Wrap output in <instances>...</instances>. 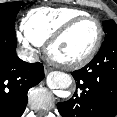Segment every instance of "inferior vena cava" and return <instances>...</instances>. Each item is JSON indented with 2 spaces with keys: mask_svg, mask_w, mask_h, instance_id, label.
I'll return each mask as SVG.
<instances>
[{
  "mask_svg": "<svg viewBox=\"0 0 117 117\" xmlns=\"http://www.w3.org/2000/svg\"><path fill=\"white\" fill-rule=\"evenodd\" d=\"M17 54H18V57L24 61L36 62L38 60V57L35 56L34 53H32L26 49L18 50Z\"/></svg>",
  "mask_w": 117,
  "mask_h": 117,
  "instance_id": "602c4592",
  "label": "inferior vena cava"
}]
</instances>
